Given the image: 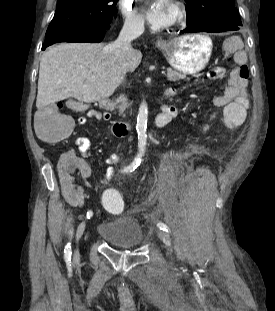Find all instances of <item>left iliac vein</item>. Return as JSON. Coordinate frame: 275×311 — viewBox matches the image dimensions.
Segmentation results:
<instances>
[{"mask_svg":"<svg viewBox=\"0 0 275 311\" xmlns=\"http://www.w3.org/2000/svg\"><path fill=\"white\" fill-rule=\"evenodd\" d=\"M157 234L167 247L171 246V238L167 232L163 230H158Z\"/></svg>","mask_w":275,"mask_h":311,"instance_id":"4c4485c4","label":"left iliac vein"}]
</instances>
